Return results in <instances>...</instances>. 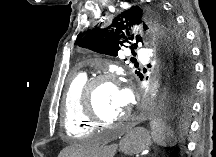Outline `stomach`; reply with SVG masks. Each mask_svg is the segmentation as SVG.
Wrapping results in <instances>:
<instances>
[{
	"instance_id": "obj_1",
	"label": "stomach",
	"mask_w": 216,
	"mask_h": 157,
	"mask_svg": "<svg viewBox=\"0 0 216 157\" xmlns=\"http://www.w3.org/2000/svg\"><path fill=\"white\" fill-rule=\"evenodd\" d=\"M151 136L144 128L130 129L124 136L121 147L126 153L136 155L149 148Z\"/></svg>"
}]
</instances>
